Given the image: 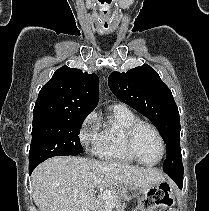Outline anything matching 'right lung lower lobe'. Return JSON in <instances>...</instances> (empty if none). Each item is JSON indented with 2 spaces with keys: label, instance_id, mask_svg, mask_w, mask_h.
<instances>
[{
  "label": "right lung lower lobe",
  "instance_id": "1",
  "mask_svg": "<svg viewBox=\"0 0 209 211\" xmlns=\"http://www.w3.org/2000/svg\"><path fill=\"white\" fill-rule=\"evenodd\" d=\"M36 166H29V173L31 174V172L33 171V169L35 168Z\"/></svg>",
  "mask_w": 209,
  "mask_h": 211
}]
</instances>
